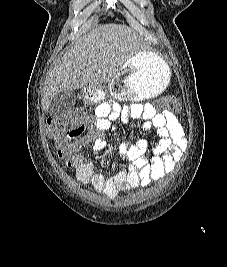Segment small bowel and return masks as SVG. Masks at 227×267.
I'll return each instance as SVG.
<instances>
[{"instance_id":"1","label":"small bowel","mask_w":227,"mask_h":267,"mask_svg":"<svg viewBox=\"0 0 227 267\" xmlns=\"http://www.w3.org/2000/svg\"><path fill=\"white\" fill-rule=\"evenodd\" d=\"M94 114L96 119L92 124L86 121L71 126L56 140V146L59 158L73 171L75 179L106 197L114 198L122 191L161 180L175 169L187 149L184 130L176 115L168 110L159 112L147 103L119 106L102 102L96 106ZM139 119L144 121V130L156 131L154 155L146 156L147 139L126 142L121 146V152L133 160L131 165L111 175L95 171L94 162L86 159L82 148L91 143L96 152L104 151L107 145L104 134L115 129L114 121L128 123Z\"/></svg>"}]
</instances>
